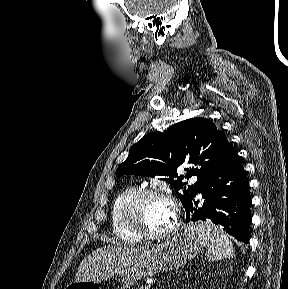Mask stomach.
Listing matches in <instances>:
<instances>
[{
  "instance_id": "0dacf381",
  "label": "stomach",
  "mask_w": 288,
  "mask_h": 289,
  "mask_svg": "<svg viewBox=\"0 0 288 289\" xmlns=\"http://www.w3.org/2000/svg\"><path fill=\"white\" fill-rule=\"evenodd\" d=\"M152 248L150 255L131 266L93 280L75 281L65 289H129L142 278L184 265L200 252L202 243L188 227Z\"/></svg>"
}]
</instances>
